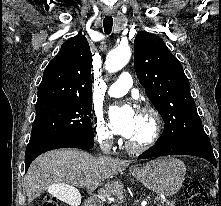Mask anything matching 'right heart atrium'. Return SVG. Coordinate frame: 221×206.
Segmentation results:
<instances>
[{"mask_svg": "<svg viewBox=\"0 0 221 206\" xmlns=\"http://www.w3.org/2000/svg\"><path fill=\"white\" fill-rule=\"evenodd\" d=\"M94 130L96 139L101 146L105 148H112L114 146L113 133L99 114L95 118Z\"/></svg>", "mask_w": 221, "mask_h": 206, "instance_id": "d8ad5b80", "label": "right heart atrium"}]
</instances>
